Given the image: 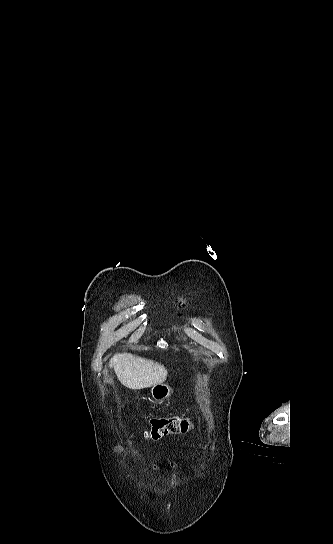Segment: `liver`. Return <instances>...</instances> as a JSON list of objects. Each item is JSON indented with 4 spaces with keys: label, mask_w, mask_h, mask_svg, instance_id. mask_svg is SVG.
Instances as JSON below:
<instances>
[{
    "label": "liver",
    "mask_w": 333,
    "mask_h": 544,
    "mask_svg": "<svg viewBox=\"0 0 333 544\" xmlns=\"http://www.w3.org/2000/svg\"><path fill=\"white\" fill-rule=\"evenodd\" d=\"M110 367L114 368L119 381L132 390L163 383L168 374L163 365L129 353L114 355Z\"/></svg>",
    "instance_id": "1"
}]
</instances>
